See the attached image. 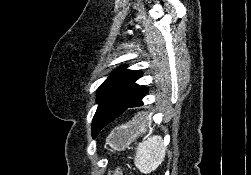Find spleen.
I'll return each instance as SVG.
<instances>
[{
	"label": "spleen",
	"instance_id": "3e777b00",
	"mask_svg": "<svg viewBox=\"0 0 251 175\" xmlns=\"http://www.w3.org/2000/svg\"><path fill=\"white\" fill-rule=\"evenodd\" d=\"M138 115H146L138 113ZM148 119V115H146ZM166 147L160 135H149L144 141H139L136 147V155L134 157L135 165L142 173H151L157 169L165 157Z\"/></svg>",
	"mask_w": 251,
	"mask_h": 175
}]
</instances>
